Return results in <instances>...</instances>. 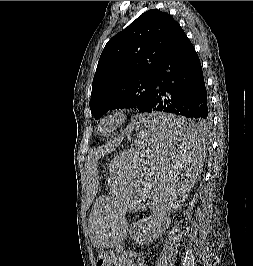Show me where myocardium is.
Wrapping results in <instances>:
<instances>
[{"mask_svg": "<svg viewBox=\"0 0 253 266\" xmlns=\"http://www.w3.org/2000/svg\"><path fill=\"white\" fill-rule=\"evenodd\" d=\"M132 109L127 105H120L105 111L99 118L97 129L103 135L110 136L120 130L129 120ZM113 120L114 125L108 131H103L101 126L104 121Z\"/></svg>", "mask_w": 253, "mask_h": 266, "instance_id": "f54148a6", "label": "myocardium"}]
</instances>
